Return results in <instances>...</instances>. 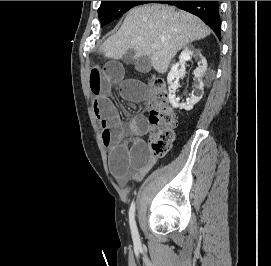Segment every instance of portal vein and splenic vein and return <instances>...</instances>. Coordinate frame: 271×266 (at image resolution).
<instances>
[{
  "mask_svg": "<svg viewBox=\"0 0 271 266\" xmlns=\"http://www.w3.org/2000/svg\"><path fill=\"white\" fill-rule=\"evenodd\" d=\"M153 48H157V46H156V45H153Z\"/></svg>",
  "mask_w": 271,
  "mask_h": 266,
  "instance_id": "18ae733b",
  "label": "portal vein and splenic vein"
}]
</instances>
